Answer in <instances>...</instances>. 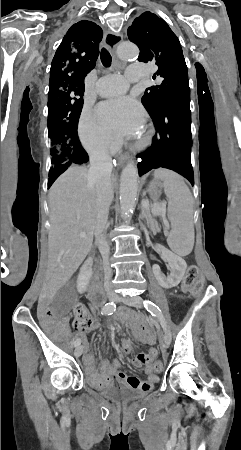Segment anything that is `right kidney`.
<instances>
[{"label":"right kidney","instance_id":"obj_1","mask_svg":"<svg viewBox=\"0 0 241 450\" xmlns=\"http://www.w3.org/2000/svg\"><path fill=\"white\" fill-rule=\"evenodd\" d=\"M92 266L93 260L92 258H88L86 262H84L82 268H80L79 276L77 278V290L79 294H84L87 290V286L92 278Z\"/></svg>","mask_w":241,"mask_h":450}]
</instances>
